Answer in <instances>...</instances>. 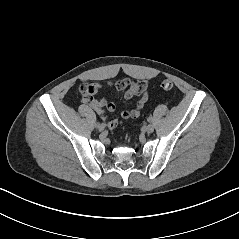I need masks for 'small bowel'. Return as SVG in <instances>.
I'll use <instances>...</instances> for the list:
<instances>
[{
  "mask_svg": "<svg viewBox=\"0 0 239 239\" xmlns=\"http://www.w3.org/2000/svg\"><path fill=\"white\" fill-rule=\"evenodd\" d=\"M92 86L94 87V92L88 96L83 95V100L86 104L102 115L110 128H116L118 126V119L114 116L105 115L103 112L104 108L111 113L119 114L124 119H135L141 115L143 107L148 100L146 81L137 82L132 79L125 78L115 83H107L109 88L117 91H124V96L126 99L139 97L135 106L130 110L119 109L113 102L109 101L107 97L96 98L95 95L98 90V85L92 84Z\"/></svg>",
  "mask_w": 239,
  "mask_h": 239,
  "instance_id": "1",
  "label": "small bowel"
}]
</instances>
